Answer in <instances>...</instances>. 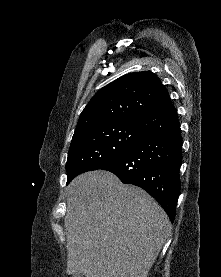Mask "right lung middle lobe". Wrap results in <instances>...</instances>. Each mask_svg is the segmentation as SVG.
Segmentation results:
<instances>
[{
  "label": "right lung middle lobe",
  "instance_id": "1",
  "mask_svg": "<svg viewBox=\"0 0 221 277\" xmlns=\"http://www.w3.org/2000/svg\"><path fill=\"white\" fill-rule=\"evenodd\" d=\"M139 134L138 121L95 126L73 135L66 163L67 184L124 156Z\"/></svg>",
  "mask_w": 221,
  "mask_h": 277
}]
</instances>
